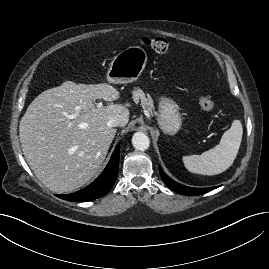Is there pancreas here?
Returning a JSON list of instances; mask_svg holds the SVG:
<instances>
[{
  "instance_id": "obj_1",
  "label": "pancreas",
  "mask_w": 269,
  "mask_h": 269,
  "mask_svg": "<svg viewBox=\"0 0 269 269\" xmlns=\"http://www.w3.org/2000/svg\"><path fill=\"white\" fill-rule=\"evenodd\" d=\"M133 100L135 103L141 102V104L148 110L149 113L154 112V102L149 94L145 95L143 90L136 88L133 92ZM156 114V112H154Z\"/></svg>"
}]
</instances>
